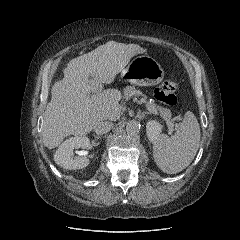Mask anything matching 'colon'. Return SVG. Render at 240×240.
I'll list each match as a JSON object with an SVG mask.
<instances>
[{
    "instance_id": "1",
    "label": "colon",
    "mask_w": 240,
    "mask_h": 240,
    "mask_svg": "<svg viewBox=\"0 0 240 240\" xmlns=\"http://www.w3.org/2000/svg\"><path fill=\"white\" fill-rule=\"evenodd\" d=\"M178 84L176 81H166L155 90V97L162 103L173 106L179 101L176 95Z\"/></svg>"
}]
</instances>
